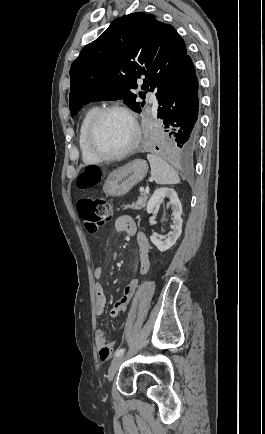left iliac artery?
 Listing matches in <instances>:
<instances>
[{
	"label": "left iliac artery",
	"instance_id": "1",
	"mask_svg": "<svg viewBox=\"0 0 265 434\" xmlns=\"http://www.w3.org/2000/svg\"><path fill=\"white\" fill-rule=\"evenodd\" d=\"M124 352H125V349H124V348L118 349V350L115 352V357H118V356L122 355Z\"/></svg>",
	"mask_w": 265,
	"mask_h": 434
}]
</instances>
